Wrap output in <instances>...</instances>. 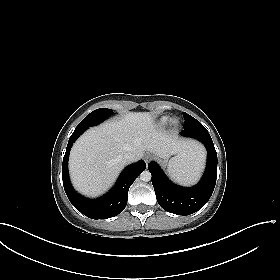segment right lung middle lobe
Masks as SVG:
<instances>
[{
	"label": "right lung middle lobe",
	"instance_id": "dd1d6c3e",
	"mask_svg": "<svg viewBox=\"0 0 280 280\" xmlns=\"http://www.w3.org/2000/svg\"><path fill=\"white\" fill-rule=\"evenodd\" d=\"M112 111L108 108H100L91 112L75 129L76 130H86L90 126L97 125L104 121Z\"/></svg>",
	"mask_w": 280,
	"mask_h": 280
}]
</instances>
